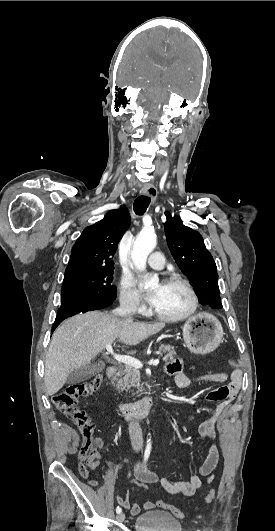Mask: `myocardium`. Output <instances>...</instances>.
<instances>
[{
  "instance_id": "1",
  "label": "myocardium",
  "mask_w": 275,
  "mask_h": 531,
  "mask_svg": "<svg viewBox=\"0 0 275 531\" xmlns=\"http://www.w3.org/2000/svg\"><path fill=\"white\" fill-rule=\"evenodd\" d=\"M164 282H175V283L181 284L187 290L189 294L190 306L187 311H185L184 313L180 315L166 316V315H162L158 313L154 309V305H152L153 313L156 315L157 318L165 322H179V321H184L188 319L190 316H192L196 312L197 307H198V297H197V293L193 285L188 279L180 275L169 276L168 278L165 279Z\"/></svg>"
}]
</instances>
